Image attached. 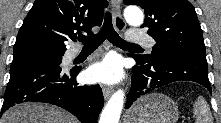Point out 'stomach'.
I'll use <instances>...</instances> for the list:
<instances>
[{"label":"stomach","instance_id":"stomach-1","mask_svg":"<svg viewBox=\"0 0 221 123\" xmlns=\"http://www.w3.org/2000/svg\"><path fill=\"white\" fill-rule=\"evenodd\" d=\"M176 102L161 93H151L138 99L127 111L124 123H177Z\"/></svg>","mask_w":221,"mask_h":123}]
</instances>
